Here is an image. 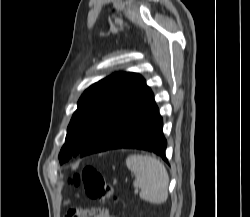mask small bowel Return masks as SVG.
Listing matches in <instances>:
<instances>
[{
  "label": "small bowel",
  "instance_id": "small-bowel-1",
  "mask_svg": "<svg viewBox=\"0 0 250 217\" xmlns=\"http://www.w3.org/2000/svg\"><path fill=\"white\" fill-rule=\"evenodd\" d=\"M94 217H114L106 210H100L94 214Z\"/></svg>",
  "mask_w": 250,
  "mask_h": 217
}]
</instances>
